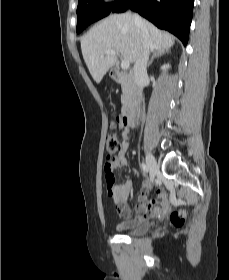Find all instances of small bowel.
Returning <instances> with one entry per match:
<instances>
[{
  "mask_svg": "<svg viewBox=\"0 0 229 280\" xmlns=\"http://www.w3.org/2000/svg\"><path fill=\"white\" fill-rule=\"evenodd\" d=\"M122 134L123 141L121 142V149L114 161V168L116 170H122L127 165L125 153L129 146V140L132 137L131 132L127 129H125ZM132 189L133 182L131 180H126L120 185H113L107 182L108 195L115 204L118 213L126 219L124 223L120 224L119 229L125 230L137 225L140 220L147 218L146 215L148 213L153 216H164L168 212L169 201L167 191L161 186L156 188V195L159 203V205L156 206L155 202L149 198V188L147 182H145L139 192L138 203L134 207V211L137 215L132 216L126 207Z\"/></svg>",
  "mask_w": 229,
  "mask_h": 280,
  "instance_id": "obj_1",
  "label": "small bowel"
}]
</instances>
